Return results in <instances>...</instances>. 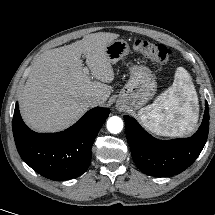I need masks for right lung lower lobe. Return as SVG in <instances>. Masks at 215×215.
I'll return each mask as SVG.
<instances>
[{
	"instance_id": "1",
	"label": "right lung lower lobe",
	"mask_w": 215,
	"mask_h": 215,
	"mask_svg": "<svg viewBox=\"0 0 215 215\" xmlns=\"http://www.w3.org/2000/svg\"><path fill=\"white\" fill-rule=\"evenodd\" d=\"M109 113L108 108L96 107L65 131L36 133L25 125L16 104L13 135L17 150L27 165L48 179L78 177L89 167L93 141Z\"/></svg>"
}]
</instances>
